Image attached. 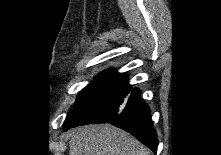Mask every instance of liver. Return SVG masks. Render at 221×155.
<instances>
[{
    "instance_id": "1",
    "label": "liver",
    "mask_w": 221,
    "mask_h": 155,
    "mask_svg": "<svg viewBox=\"0 0 221 155\" xmlns=\"http://www.w3.org/2000/svg\"><path fill=\"white\" fill-rule=\"evenodd\" d=\"M69 155H151L127 132L111 124L77 128L70 140Z\"/></svg>"
}]
</instances>
